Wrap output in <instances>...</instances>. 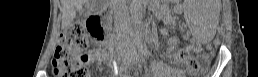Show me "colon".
I'll return each instance as SVG.
<instances>
[{
	"instance_id": "obj_1",
	"label": "colon",
	"mask_w": 258,
	"mask_h": 77,
	"mask_svg": "<svg viewBox=\"0 0 258 77\" xmlns=\"http://www.w3.org/2000/svg\"><path fill=\"white\" fill-rule=\"evenodd\" d=\"M99 29L98 33H101ZM168 45L171 49H176V38L169 36ZM88 39L85 35L82 23L70 25L63 33L57 45L53 59V73L56 77H88L89 70L87 63L89 55L86 53ZM178 60L185 62L190 73L195 74L202 68L201 63L191 57L184 49H176Z\"/></svg>"
}]
</instances>
